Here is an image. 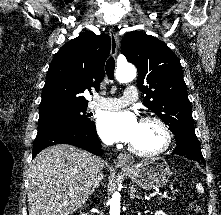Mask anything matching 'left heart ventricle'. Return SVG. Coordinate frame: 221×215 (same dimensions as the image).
<instances>
[{
  "label": "left heart ventricle",
  "instance_id": "b2bd125f",
  "mask_svg": "<svg viewBox=\"0 0 221 215\" xmlns=\"http://www.w3.org/2000/svg\"><path fill=\"white\" fill-rule=\"evenodd\" d=\"M163 142L164 136L157 124L153 122H140L137 134L131 145L143 151H152L160 148Z\"/></svg>",
  "mask_w": 221,
  "mask_h": 215
}]
</instances>
